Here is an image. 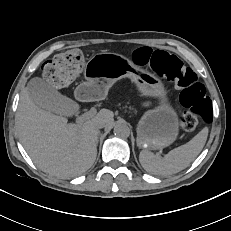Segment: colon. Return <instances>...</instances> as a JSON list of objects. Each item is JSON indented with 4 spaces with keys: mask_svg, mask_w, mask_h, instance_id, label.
I'll list each match as a JSON object with an SVG mask.
<instances>
[{
    "mask_svg": "<svg viewBox=\"0 0 231 231\" xmlns=\"http://www.w3.org/2000/svg\"><path fill=\"white\" fill-rule=\"evenodd\" d=\"M133 59L148 66L158 76L173 81L181 89L180 102L185 108L179 120L181 130L191 132L200 122L211 120L212 105L205 86L180 58L166 51L142 47L134 51ZM84 62L82 52L70 50L45 62L43 75L51 85L63 87L81 73Z\"/></svg>",
    "mask_w": 231,
    "mask_h": 231,
    "instance_id": "1",
    "label": "colon"
}]
</instances>
